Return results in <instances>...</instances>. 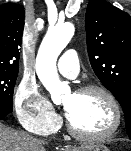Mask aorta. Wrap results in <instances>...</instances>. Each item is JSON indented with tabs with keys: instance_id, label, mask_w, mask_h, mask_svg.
<instances>
[{
	"instance_id": "obj_1",
	"label": "aorta",
	"mask_w": 131,
	"mask_h": 151,
	"mask_svg": "<svg viewBox=\"0 0 131 151\" xmlns=\"http://www.w3.org/2000/svg\"><path fill=\"white\" fill-rule=\"evenodd\" d=\"M73 34L74 27L71 23H64L49 29L37 54V75L42 84L51 93L53 99H56L62 92V83L58 77L56 61Z\"/></svg>"
}]
</instances>
